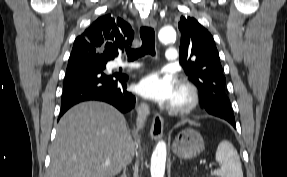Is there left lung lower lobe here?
I'll list each match as a JSON object with an SVG mask.
<instances>
[{
	"label": "left lung lower lobe",
	"mask_w": 287,
	"mask_h": 177,
	"mask_svg": "<svg viewBox=\"0 0 287 177\" xmlns=\"http://www.w3.org/2000/svg\"><path fill=\"white\" fill-rule=\"evenodd\" d=\"M228 100L229 99L227 97L217 95V98L214 97L213 102L207 108L204 106L203 107L209 114L227 120L232 126L236 128L234 116L226 108V103Z\"/></svg>",
	"instance_id": "1"
}]
</instances>
